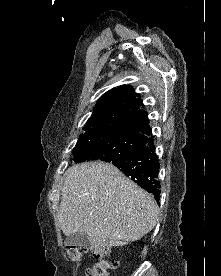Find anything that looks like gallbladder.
<instances>
[{"mask_svg": "<svg viewBox=\"0 0 221 276\" xmlns=\"http://www.w3.org/2000/svg\"><path fill=\"white\" fill-rule=\"evenodd\" d=\"M65 245L77 246V247H88L90 245V242L88 240L86 233L76 232L67 236L65 240Z\"/></svg>", "mask_w": 221, "mask_h": 276, "instance_id": "obj_1", "label": "gallbladder"}]
</instances>
